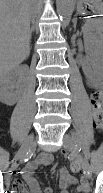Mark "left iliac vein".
<instances>
[{
  "instance_id": "obj_1",
  "label": "left iliac vein",
  "mask_w": 103,
  "mask_h": 193,
  "mask_svg": "<svg viewBox=\"0 0 103 193\" xmlns=\"http://www.w3.org/2000/svg\"><path fill=\"white\" fill-rule=\"evenodd\" d=\"M63 144H64L65 150L70 151V152L74 151L75 142H74V139L71 135H69V134L64 135ZM79 157L82 161V165H83L84 170L86 171L87 175L89 177H91V167H90L88 161L85 160L84 158H82V156H79Z\"/></svg>"
}]
</instances>
